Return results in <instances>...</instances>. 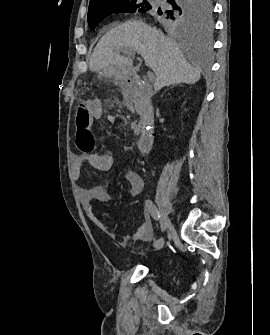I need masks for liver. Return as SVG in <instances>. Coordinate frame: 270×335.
I'll list each match as a JSON object with an SVG mask.
<instances>
[{
	"label": "liver",
	"mask_w": 270,
	"mask_h": 335,
	"mask_svg": "<svg viewBox=\"0 0 270 335\" xmlns=\"http://www.w3.org/2000/svg\"><path fill=\"white\" fill-rule=\"evenodd\" d=\"M134 50L156 74L154 90L171 84H195L200 70L187 62L180 44L142 20H129L106 32L99 40L89 62L91 72L129 74L133 62L117 52ZM127 60L128 64H123ZM130 64V66H129Z\"/></svg>",
	"instance_id": "1"
}]
</instances>
